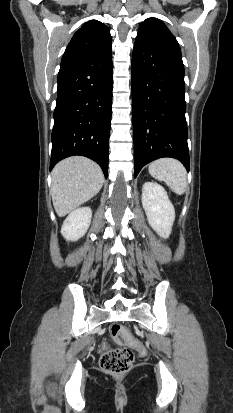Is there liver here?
<instances>
[{
	"label": "liver",
	"instance_id": "liver-1",
	"mask_svg": "<svg viewBox=\"0 0 233 413\" xmlns=\"http://www.w3.org/2000/svg\"><path fill=\"white\" fill-rule=\"evenodd\" d=\"M103 182L101 168L88 158L73 156L59 162L52 171L50 189L57 215L65 216L90 200Z\"/></svg>",
	"mask_w": 233,
	"mask_h": 413
}]
</instances>
